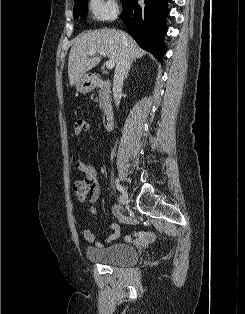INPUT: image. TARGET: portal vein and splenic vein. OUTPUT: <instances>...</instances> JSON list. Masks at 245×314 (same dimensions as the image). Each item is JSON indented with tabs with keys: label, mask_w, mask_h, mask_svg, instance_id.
<instances>
[{
	"label": "portal vein and splenic vein",
	"mask_w": 245,
	"mask_h": 314,
	"mask_svg": "<svg viewBox=\"0 0 245 314\" xmlns=\"http://www.w3.org/2000/svg\"><path fill=\"white\" fill-rule=\"evenodd\" d=\"M97 52L96 51H89L88 52V55H90V56H92V55H95ZM101 56H106V53L104 52V51H99L98 52ZM114 65H115V62H114V60H108L107 62H106V68L107 69H112V68H114Z\"/></svg>",
	"instance_id": "1"
}]
</instances>
